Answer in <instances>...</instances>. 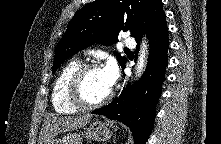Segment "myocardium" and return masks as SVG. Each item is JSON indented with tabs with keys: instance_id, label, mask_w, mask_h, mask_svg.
Returning a JSON list of instances; mask_svg holds the SVG:
<instances>
[{
	"instance_id": "myocardium-1",
	"label": "myocardium",
	"mask_w": 221,
	"mask_h": 144,
	"mask_svg": "<svg viewBox=\"0 0 221 144\" xmlns=\"http://www.w3.org/2000/svg\"><path fill=\"white\" fill-rule=\"evenodd\" d=\"M94 69H101L100 65L94 62L90 63H82L70 76L66 91L68 100L73 104L75 107L79 109H93L100 107L106 104L113 95L112 90L110 89L109 92L99 101L97 102H89L87 101L83 94H82V81L85 75Z\"/></svg>"
}]
</instances>
